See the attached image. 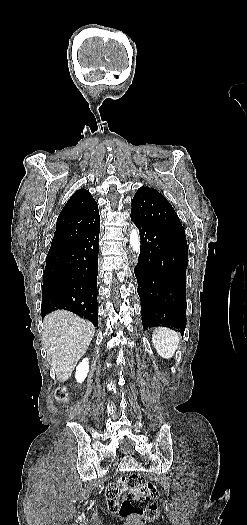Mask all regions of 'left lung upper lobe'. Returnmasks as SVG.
<instances>
[{"mask_svg": "<svg viewBox=\"0 0 247 525\" xmlns=\"http://www.w3.org/2000/svg\"><path fill=\"white\" fill-rule=\"evenodd\" d=\"M130 217L134 221L156 225L180 238L186 244L185 231L167 199L154 188L142 186L132 199Z\"/></svg>", "mask_w": 247, "mask_h": 525, "instance_id": "5c2ea615", "label": "left lung upper lobe"}]
</instances>
